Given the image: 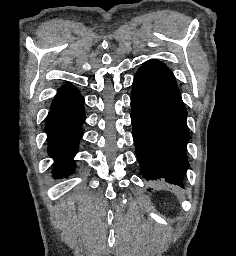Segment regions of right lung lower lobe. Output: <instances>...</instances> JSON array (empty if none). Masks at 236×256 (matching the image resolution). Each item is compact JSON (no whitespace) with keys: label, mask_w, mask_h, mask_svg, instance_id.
Masks as SVG:
<instances>
[{"label":"right lung lower lobe","mask_w":236,"mask_h":256,"mask_svg":"<svg viewBox=\"0 0 236 256\" xmlns=\"http://www.w3.org/2000/svg\"><path fill=\"white\" fill-rule=\"evenodd\" d=\"M84 99L72 85L58 92L48 114L45 132L48 135V153L55 158L54 177L62 178L74 172L75 156L82 138L81 126L85 120Z\"/></svg>","instance_id":"98d812e1"}]
</instances>
